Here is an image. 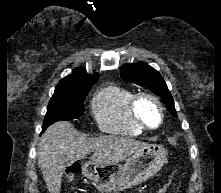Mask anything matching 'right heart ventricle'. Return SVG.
Returning a JSON list of instances; mask_svg holds the SVG:
<instances>
[{
  "instance_id": "e07e8e85",
  "label": "right heart ventricle",
  "mask_w": 221,
  "mask_h": 193,
  "mask_svg": "<svg viewBox=\"0 0 221 193\" xmlns=\"http://www.w3.org/2000/svg\"><path fill=\"white\" fill-rule=\"evenodd\" d=\"M134 92L126 87L109 85L102 88L91 103L92 113L102 131L126 136L143 133L133 119L130 104Z\"/></svg>"
}]
</instances>
